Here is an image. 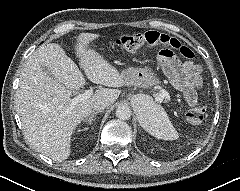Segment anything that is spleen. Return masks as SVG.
Returning a JSON list of instances; mask_svg holds the SVG:
<instances>
[{
	"label": "spleen",
	"mask_w": 240,
	"mask_h": 191,
	"mask_svg": "<svg viewBox=\"0 0 240 191\" xmlns=\"http://www.w3.org/2000/svg\"><path fill=\"white\" fill-rule=\"evenodd\" d=\"M141 125L149 134L157 139L174 140L178 138V132L175 130L164 109L153 103L149 107H146V112L141 118Z\"/></svg>",
	"instance_id": "obj_1"
}]
</instances>
